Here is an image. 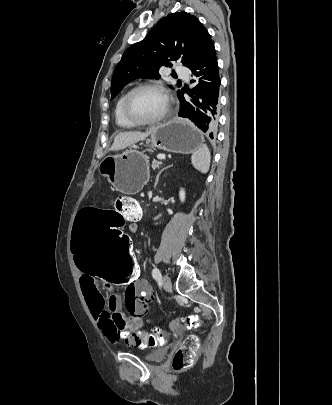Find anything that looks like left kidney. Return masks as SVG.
<instances>
[{"instance_id":"obj_1","label":"left kidney","mask_w":332,"mask_h":405,"mask_svg":"<svg viewBox=\"0 0 332 405\" xmlns=\"http://www.w3.org/2000/svg\"><path fill=\"white\" fill-rule=\"evenodd\" d=\"M179 197H180L181 202L185 201V191L183 189L180 190Z\"/></svg>"}]
</instances>
